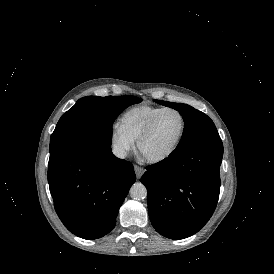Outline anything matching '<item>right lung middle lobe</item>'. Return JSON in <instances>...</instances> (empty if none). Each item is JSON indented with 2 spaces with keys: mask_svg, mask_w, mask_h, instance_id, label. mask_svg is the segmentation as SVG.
Segmentation results:
<instances>
[{
  "mask_svg": "<svg viewBox=\"0 0 274 274\" xmlns=\"http://www.w3.org/2000/svg\"><path fill=\"white\" fill-rule=\"evenodd\" d=\"M141 101V98L130 95L79 99L58 121L50 138V153L95 132L111 133L113 122L119 114Z\"/></svg>",
  "mask_w": 274,
  "mask_h": 274,
  "instance_id": "dd1d6c3e",
  "label": "right lung middle lobe"
}]
</instances>
